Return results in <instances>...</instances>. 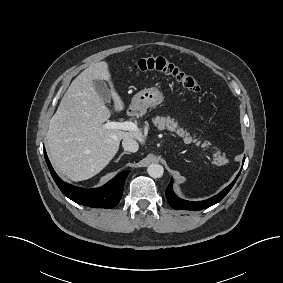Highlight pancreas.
<instances>
[{"mask_svg":"<svg viewBox=\"0 0 283 283\" xmlns=\"http://www.w3.org/2000/svg\"><path fill=\"white\" fill-rule=\"evenodd\" d=\"M153 123L159 130H169L172 132H176L180 137L184 139L185 143H191L194 142L197 145L200 144V141H197V139H193L187 131H184L182 128H179L178 123L174 121V119H171L168 117H159L153 119ZM207 143H204V146H206Z\"/></svg>","mask_w":283,"mask_h":283,"instance_id":"obj_1","label":"pancreas"}]
</instances>
